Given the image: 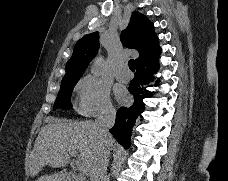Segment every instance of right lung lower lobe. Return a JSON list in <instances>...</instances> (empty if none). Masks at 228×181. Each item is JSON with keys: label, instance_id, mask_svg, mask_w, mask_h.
<instances>
[{"label": "right lung lower lobe", "instance_id": "right-lung-lower-lobe-1", "mask_svg": "<svg viewBox=\"0 0 228 181\" xmlns=\"http://www.w3.org/2000/svg\"><path fill=\"white\" fill-rule=\"evenodd\" d=\"M160 52L161 49L159 48L147 59L136 65L137 72L128 89L134 97V103L130 107H121L117 111L115 124L110 129L114 138L125 148L130 146L132 128L144 107L143 99L150 95L146 86H152V74L159 69L157 62Z\"/></svg>", "mask_w": 228, "mask_h": 181}]
</instances>
